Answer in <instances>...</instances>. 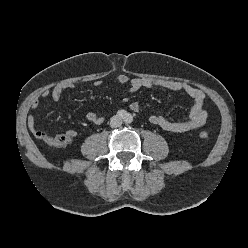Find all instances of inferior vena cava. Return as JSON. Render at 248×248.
Returning a JSON list of instances; mask_svg holds the SVG:
<instances>
[{"label":"inferior vena cava","instance_id":"1","mask_svg":"<svg viewBox=\"0 0 248 248\" xmlns=\"http://www.w3.org/2000/svg\"><path fill=\"white\" fill-rule=\"evenodd\" d=\"M121 124H122V120L119 117H117V116L111 117V119H110V126L111 127H113V128L120 127Z\"/></svg>","mask_w":248,"mask_h":248}]
</instances>
